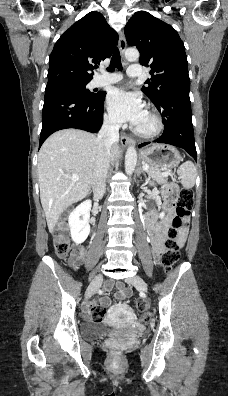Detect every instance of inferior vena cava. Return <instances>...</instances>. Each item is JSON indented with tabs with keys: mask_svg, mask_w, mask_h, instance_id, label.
<instances>
[{
	"mask_svg": "<svg viewBox=\"0 0 228 396\" xmlns=\"http://www.w3.org/2000/svg\"><path fill=\"white\" fill-rule=\"evenodd\" d=\"M119 128L118 122L105 119L98 133L99 152L92 180V188L96 197L103 196L106 191L105 182L109 169L111 147L119 140Z\"/></svg>",
	"mask_w": 228,
	"mask_h": 396,
	"instance_id": "obj_1",
	"label": "inferior vena cava"
}]
</instances>
